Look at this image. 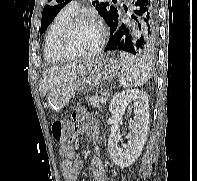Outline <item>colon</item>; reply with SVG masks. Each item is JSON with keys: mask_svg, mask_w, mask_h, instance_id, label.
Segmentation results:
<instances>
[{"mask_svg": "<svg viewBox=\"0 0 197 181\" xmlns=\"http://www.w3.org/2000/svg\"><path fill=\"white\" fill-rule=\"evenodd\" d=\"M51 131L58 141H64L67 137L66 121L63 119H56L51 124Z\"/></svg>", "mask_w": 197, "mask_h": 181, "instance_id": "1", "label": "colon"}]
</instances>
